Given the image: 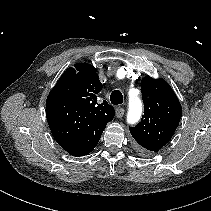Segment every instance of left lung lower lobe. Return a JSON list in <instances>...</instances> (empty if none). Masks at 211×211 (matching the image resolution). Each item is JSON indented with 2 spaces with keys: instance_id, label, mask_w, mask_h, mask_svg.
<instances>
[{
  "instance_id": "1",
  "label": "left lung lower lobe",
  "mask_w": 211,
  "mask_h": 211,
  "mask_svg": "<svg viewBox=\"0 0 211 211\" xmlns=\"http://www.w3.org/2000/svg\"><path fill=\"white\" fill-rule=\"evenodd\" d=\"M139 151H140L141 154H145V155L148 154V153H147L146 151H144V150H139Z\"/></svg>"
}]
</instances>
